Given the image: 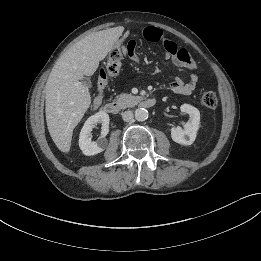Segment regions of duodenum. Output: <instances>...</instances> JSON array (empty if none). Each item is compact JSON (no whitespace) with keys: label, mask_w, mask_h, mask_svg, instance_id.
<instances>
[{"label":"duodenum","mask_w":261,"mask_h":261,"mask_svg":"<svg viewBox=\"0 0 261 261\" xmlns=\"http://www.w3.org/2000/svg\"><path fill=\"white\" fill-rule=\"evenodd\" d=\"M155 103H156V100H155V98H152V97L141 99L139 101V105L144 108H151L155 105ZM120 110H121V107L117 102H110V103L105 104L102 107V112L111 114V115L118 114L120 112Z\"/></svg>","instance_id":"obj_1"}]
</instances>
